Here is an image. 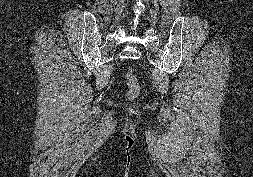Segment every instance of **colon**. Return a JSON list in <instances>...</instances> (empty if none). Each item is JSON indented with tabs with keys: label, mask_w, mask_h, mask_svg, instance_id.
<instances>
[{
	"label": "colon",
	"mask_w": 253,
	"mask_h": 177,
	"mask_svg": "<svg viewBox=\"0 0 253 177\" xmlns=\"http://www.w3.org/2000/svg\"><path fill=\"white\" fill-rule=\"evenodd\" d=\"M125 80L128 87V96L130 98L137 97L140 92V85L137 77L132 72H127Z\"/></svg>",
	"instance_id": "1"
}]
</instances>
